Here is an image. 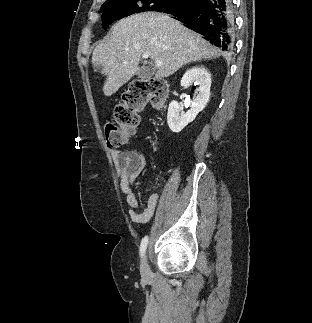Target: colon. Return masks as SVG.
<instances>
[{"label":"colon","mask_w":312,"mask_h":323,"mask_svg":"<svg viewBox=\"0 0 312 323\" xmlns=\"http://www.w3.org/2000/svg\"><path fill=\"white\" fill-rule=\"evenodd\" d=\"M167 96L164 78L132 79L112 110V122L105 126L104 135L107 145L113 148L126 145L139 124L141 110L148 104L153 107L161 106Z\"/></svg>","instance_id":"1"}]
</instances>
